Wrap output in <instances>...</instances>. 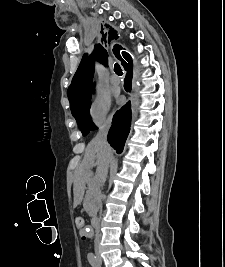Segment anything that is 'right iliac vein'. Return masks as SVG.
I'll return each instance as SVG.
<instances>
[{"instance_id": "1", "label": "right iliac vein", "mask_w": 225, "mask_h": 267, "mask_svg": "<svg viewBox=\"0 0 225 267\" xmlns=\"http://www.w3.org/2000/svg\"><path fill=\"white\" fill-rule=\"evenodd\" d=\"M97 257H98L99 262H102V259H101V256H100L99 252H97Z\"/></svg>"}]
</instances>
